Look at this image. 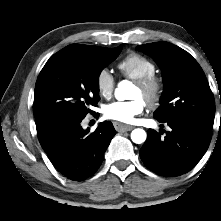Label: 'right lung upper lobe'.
Listing matches in <instances>:
<instances>
[{
	"mask_svg": "<svg viewBox=\"0 0 221 221\" xmlns=\"http://www.w3.org/2000/svg\"><path fill=\"white\" fill-rule=\"evenodd\" d=\"M64 49L78 51V52H86V51H112L115 48H104V47L91 46V45L71 44L65 47Z\"/></svg>",
	"mask_w": 221,
	"mask_h": 221,
	"instance_id": "right-lung-upper-lobe-1",
	"label": "right lung upper lobe"
}]
</instances>
